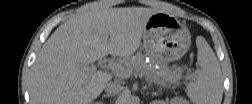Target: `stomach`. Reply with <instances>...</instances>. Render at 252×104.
<instances>
[{"instance_id":"1","label":"stomach","mask_w":252,"mask_h":104,"mask_svg":"<svg viewBox=\"0 0 252 104\" xmlns=\"http://www.w3.org/2000/svg\"><path fill=\"white\" fill-rule=\"evenodd\" d=\"M142 37L146 52L161 63L183 57L191 42V35L185 24L164 12L151 15Z\"/></svg>"}]
</instances>
